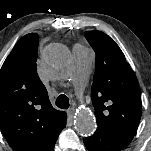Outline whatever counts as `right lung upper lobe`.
I'll return each instance as SVG.
<instances>
[{
    "label": "right lung upper lobe",
    "mask_w": 151,
    "mask_h": 151,
    "mask_svg": "<svg viewBox=\"0 0 151 151\" xmlns=\"http://www.w3.org/2000/svg\"><path fill=\"white\" fill-rule=\"evenodd\" d=\"M38 35L22 37L0 70V128L14 151H53L66 126L37 75Z\"/></svg>",
    "instance_id": "obj_1"
}]
</instances>
